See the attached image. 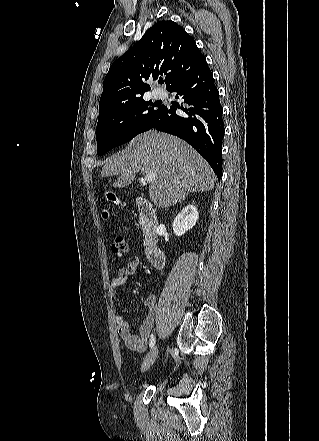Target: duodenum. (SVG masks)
<instances>
[{
	"label": "duodenum",
	"mask_w": 319,
	"mask_h": 441,
	"mask_svg": "<svg viewBox=\"0 0 319 441\" xmlns=\"http://www.w3.org/2000/svg\"><path fill=\"white\" fill-rule=\"evenodd\" d=\"M137 209L142 216L144 227L143 232L146 240L145 254L150 264L155 268H162L165 265L166 257L164 251L156 245L157 217L151 203L142 197L135 200Z\"/></svg>",
	"instance_id": "duodenum-1"
}]
</instances>
